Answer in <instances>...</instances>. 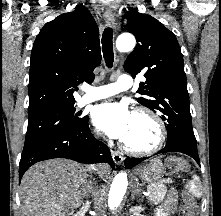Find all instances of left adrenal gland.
Returning <instances> with one entry per match:
<instances>
[{"mask_svg":"<svg viewBox=\"0 0 221 216\" xmlns=\"http://www.w3.org/2000/svg\"><path fill=\"white\" fill-rule=\"evenodd\" d=\"M135 196L140 197L141 196V189H139L138 184H134L132 193H131V199L134 200Z\"/></svg>","mask_w":221,"mask_h":216,"instance_id":"left-adrenal-gland-1","label":"left adrenal gland"}]
</instances>
